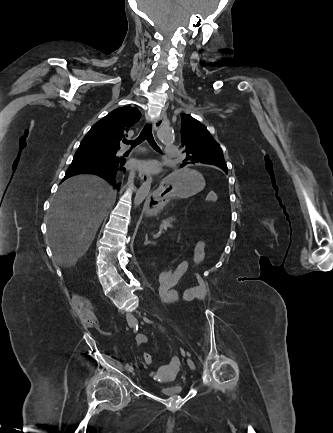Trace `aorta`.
<instances>
[{
	"label": "aorta",
	"instance_id": "1",
	"mask_svg": "<svg viewBox=\"0 0 333 433\" xmlns=\"http://www.w3.org/2000/svg\"><path fill=\"white\" fill-rule=\"evenodd\" d=\"M157 138L161 143L169 144L174 141V135L173 132L169 127H160L157 130ZM151 183L152 179L149 178L145 183L141 185V187L137 190L135 198H134V206L138 207L144 199L147 197V195L150 192L151 189Z\"/></svg>",
	"mask_w": 333,
	"mask_h": 433
}]
</instances>
